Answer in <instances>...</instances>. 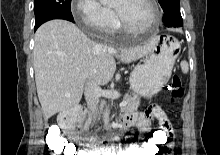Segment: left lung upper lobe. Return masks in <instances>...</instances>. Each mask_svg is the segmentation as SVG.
<instances>
[{
  "instance_id": "1",
  "label": "left lung upper lobe",
  "mask_w": 220,
  "mask_h": 155,
  "mask_svg": "<svg viewBox=\"0 0 220 155\" xmlns=\"http://www.w3.org/2000/svg\"><path fill=\"white\" fill-rule=\"evenodd\" d=\"M164 12L180 9L179 0H158Z\"/></svg>"
}]
</instances>
